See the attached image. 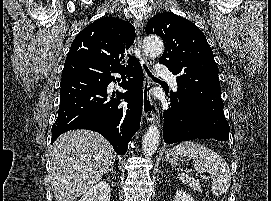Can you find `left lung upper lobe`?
<instances>
[{"mask_svg":"<svg viewBox=\"0 0 271 201\" xmlns=\"http://www.w3.org/2000/svg\"><path fill=\"white\" fill-rule=\"evenodd\" d=\"M164 42L165 51L159 62L177 75L174 94L193 108L202 127L214 138L229 139V124L223 112L218 67L203 32L191 21L163 12L151 18L145 28Z\"/></svg>","mask_w":271,"mask_h":201,"instance_id":"5c2ea615","label":"left lung upper lobe"}]
</instances>
